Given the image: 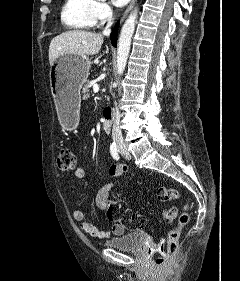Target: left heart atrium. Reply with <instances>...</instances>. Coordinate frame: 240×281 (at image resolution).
Masks as SVG:
<instances>
[{
  "label": "left heart atrium",
  "mask_w": 240,
  "mask_h": 281,
  "mask_svg": "<svg viewBox=\"0 0 240 281\" xmlns=\"http://www.w3.org/2000/svg\"><path fill=\"white\" fill-rule=\"evenodd\" d=\"M128 2H129V0H112V3L118 7H122V6L126 5Z\"/></svg>",
  "instance_id": "obj_1"
}]
</instances>
